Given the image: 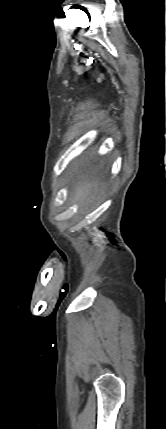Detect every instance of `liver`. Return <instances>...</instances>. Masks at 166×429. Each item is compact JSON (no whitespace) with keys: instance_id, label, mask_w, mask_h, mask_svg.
Returning a JSON list of instances; mask_svg holds the SVG:
<instances>
[{"instance_id":"obj_1","label":"liver","mask_w":166,"mask_h":429,"mask_svg":"<svg viewBox=\"0 0 166 429\" xmlns=\"http://www.w3.org/2000/svg\"><path fill=\"white\" fill-rule=\"evenodd\" d=\"M98 194V183L96 181H86L80 184L75 191V198L80 203H90L96 199Z\"/></svg>"}]
</instances>
